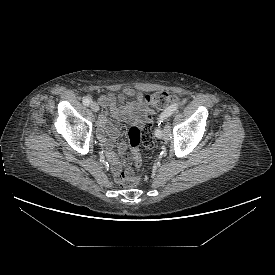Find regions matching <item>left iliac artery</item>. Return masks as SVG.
<instances>
[{
  "label": "left iliac artery",
  "mask_w": 275,
  "mask_h": 275,
  "mask_svg": "<svg viewBox=\"0 0 275 275\" xmlns=\"http://www.w3.org/2000/svg\"><path fill=\"white\" fill-rule=\"evenodd\" d=\"M178 109V104H173L169 106L164 112L160 115L158 119V126H160L168 117H170L173 113H175ZM155 135L158 138H162L163 132L161 131L160 127L156 128Z\"/></svg>",
  "instance_id": "obj_1"
}]
</instances>
